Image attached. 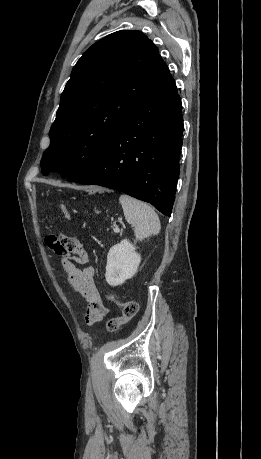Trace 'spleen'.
<instances>
[{
	"mask_svg": "<svg viewBox=\"0 0 261 459\" xmlns=\"http://www.w3.org/2000/svg\"><path fill=\"white\" fill-rule=\"evenodd\" d=\"M126 221L134 227L137 240L142 241L159 234L160 220L154 209L131 196L122 194L119 198Z\"/></svg>",
	"mask_w": 261,
	"mask_h": 459,
	"instance_id": "spleen-1",
	"label": "spleen"
}]
</instances>
